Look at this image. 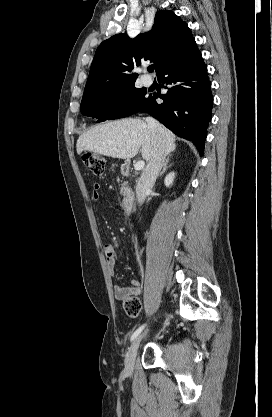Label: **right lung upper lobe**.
I'll return each mask as SVG.
<instances>
[{
  "label": "right lung upper lobe",
  "instance_id": "right-lung-upper-lobe-1",
  "mask_svg": "<svg viewBox=\"0 0 272 417\" xmlns=\"http://www.w3.org/2000/svg\"><path fill=\"white\" fill-rule=\"evenodd\" d=\"M194 41L190 29L180 17L172 11H158L149 32L139 34L133 40L126 34H117L100 44L84 94L133 86L138 75L132 70L142 61L153 62L158 74Z\"/></svg>",
  "mask_w": 272,
  "mask_h": 417
}]
</instances>
